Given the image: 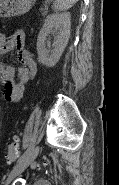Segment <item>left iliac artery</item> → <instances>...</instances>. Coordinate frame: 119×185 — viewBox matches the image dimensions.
I'll use <instances>...</instances> for the list:
<instances>
[{"instance_id":"1","label":"left iliac artery","mask_w":119,"mask_h":185,"mask_svg":"<svg viewBox=\"0 0 119 185\" xmlns=\"http://www.w3.org/2000/svg\"><path fill=\"white\" fill-rule=\"evenodd\" d=\"M32 150V147L30 146L25 152L24 154L20 157L19 161H21L25 156H27Z\"/></svg>"}]
</instances>
